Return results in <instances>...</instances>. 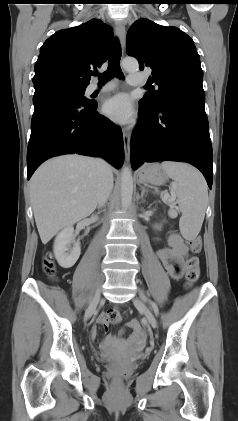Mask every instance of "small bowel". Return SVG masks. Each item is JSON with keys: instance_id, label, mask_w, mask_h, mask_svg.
I'll return each instance as SVG.
<instances>
[{"instance_id": "small-bowel-1", "label": "small bowel", "mask_w": 238, "mask_h": 421, "mask_svg": "<svg viewBox=\"0 0 238 421\" xmlns=\"http://www.w3.org/2000/svg\"><path fill=\"white\" fill-rule=\"evenodd\" d=\"M188 248L185 245L182 237L176 233L172 232L168 238V246L161 248L157 251V256L167 272L173 278H179L183 273V262L184 258L187 255ZM116 315V320L112 321L111 316ZM121 320L120 313L117 309L113 308L107 312L101 313L96 320V325L92 330V336H96L98 327L107 329L110 324L118 323ZM128 327L133 330L131 335V341L137 344L142 342V330L139 322L137 320H132L128 323ZM115 342V338L108 337L105 340V345H109Z\"/></svg>"}]
</instances>
